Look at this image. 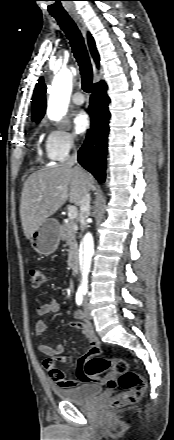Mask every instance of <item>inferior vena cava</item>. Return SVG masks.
Wrapping results in <instances>:
<instances>
[{"instance_id": "obj_1", "label": "inferior vena cava", "mask_w": 174, "mask_h": 440, "mask_svg": "<svg viewBox=\"0 0 174 440\" xmlns=\"http://www.w3.org/2000/svg\"><path fill=\"white\" fill-rule=\"evenodd\" d=\"M72 148L74 149V153L69 156L66 160V165L68 166H74L77 163V151L74 147V144L72 142ZM90 193L89 191H86L82 197V200L80 202V224H81V230H84L87 225V218L90 214Z\"/></svg>"}]
</instances>
